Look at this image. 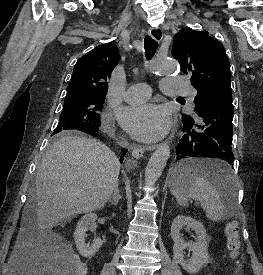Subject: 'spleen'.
I'll use <instances>...</instances> for the list:
<instances>
[{
	"label": "spleen",
	"instance_id": "1",
	"mask_svg": "<svg viewBox=\"0 0 263 275\" xmlns=\"http://www.w3.org/2000/svg\"><path fill=\"white\" fill-rule=\"evenodd\" d=\"M203 169H220L224 172L218 183L225 200L210 182V179L199 174ZM236 177L225 163L210 160H189L179 164L174 172L170 191L180 206H187L190 198L201 203L208 219L219 222L231 215L236 203Z\"/></svg>",
	"mask_w": 263,
	"mask_h": 275
}]
</instances>
